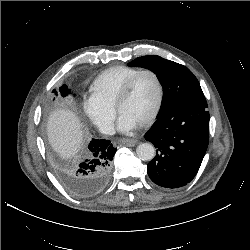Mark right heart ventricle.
Listing matches in <instances>:
<instances>
[{
	"instance_id": "right-heart-ventricle-1",
	"label": "right heart ventricle",
	"mask_w": 250,
	"mask_h": 250,
	"mask_svg": "<svg viewBox=\"0 0 250 250\" xmlns=\"http://www.w3.org/2000/svg\"><path fill=\"white\" fill-rule=\"evenodd\" d=\"M139 70L136 67L117 66L103 71L92 82L89 89L90 97L113 109L121 88Z\"/></svg>"
}]
</instances>
